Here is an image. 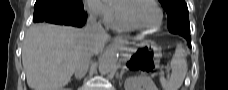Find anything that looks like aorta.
Masks as SVG:
<instances>
[{"mask_svg":"<svg viewBox=\"0 0 228 90\" xmlns=\"http://www.w3.org/2000/svg\"><path fill=\"white\" fill-rule=\"evenodd\" d=\"M119 58L118 49L116 46H110L99 61V72L102 75L109 74L116 66Z\"/></svg>","mask_w":228,"mask_h":90,"instance_id":"1","label":"aorta"}]
</instances>
